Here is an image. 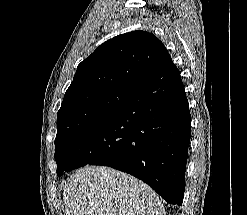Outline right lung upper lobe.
Wrapping results in <instances>:
<instances>
[{
  "mask_svg": "<svg viewBox=\"0 0 247 215\" xmlns=\"http://www.w3.org/2000/svg\"><path fill=\"white\" fill-rule=\"evenodd\" d=\"M170 55L153 34L133 31L101 44L82 61L65 94L82 89L133 91L148 80Z\"/></svg>",
  "mask_w": 247,
  "mask_h": 215,
  "instance_id": "1",
  "label": "right lung upper lobe"
}]
</instances>
